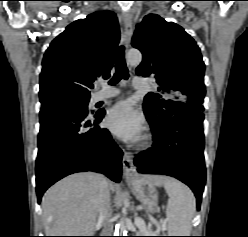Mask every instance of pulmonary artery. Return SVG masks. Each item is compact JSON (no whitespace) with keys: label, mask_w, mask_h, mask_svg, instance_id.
I'll return each instance as SVG.
<instances>
[{"label":"pulmonary artery","mask_w":248,"mask_h":237,"mask_svg":"<svg viewBox=\"0 0 248 237\" xmlns=\"http://www.w3.org/2000/svg\"><path fill=\"white\" fill-rule=\"evenodd\" d=\"M133 86L136 89L145 88L146 87V81H145V79H143L141 77H135L133 79ZM118 94H119L118 90L100 91L94 95L93 101L94 102L104 101V100L116 97Z\"/></svg>","instance_id":"obj_1"}]
</instances>
